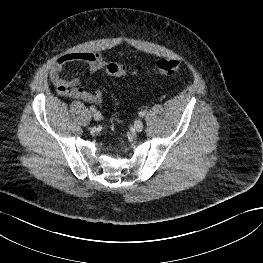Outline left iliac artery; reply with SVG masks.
Wrapping results in <instances>:
<instances>
[{
    "label": "left iliac artery",
    "mask_w": 263,
    "mask_h": 263,
    "mask_svg": "<svg viewBox=\"0 0 263 263\" xmlns=\"http://www.w3.org/2000/svg\"><path fill=\"white\" fill-rule=\"evenodd\" d=\"M145 114H146V113H145L144 111L139 112V116H140V117L145 116Z\"/></svg>",
    "instance_id": "obj_1"
}]
</instances>
